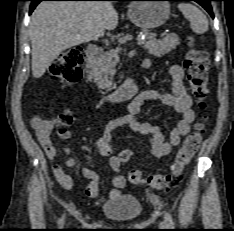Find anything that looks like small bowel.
Returning <instances> with one entry per match:
<instances>
[{"mask_svg": "<svg viewBox=\"0 0 234 231\" xmlns=\"http://www.w3.org/2000/svg\"><path fill=\"white\" fill-rule=\"evenodd\" d=\"M167 74L171 80V93H160L155 90L141 92L129 103L128 113L110 120L106 124L103 134L95 140V148L102 156L109 158L110 168L114 172L112 178L113 188L106 196L101 197L99 193L100 178L98 174L89 168H83L81 170L82 176L88 180L84 193L89 197L96 198L98 203L114 200L126 186L125 177L119 173L121 161L119 156L116 155V149L112 140L114 130L122 126H127L136 133L147 135L149 137L150 153L155 158H161L170 154L172 149L178 146L182 138L190 132L191 125L195 120V113L192 110V98L183 83L184 72L179 65L175 64L168 68ZM151 101H157L166 106L173 107L181 114V119L171 130L168 139L165 138L161 126L143 122L137 118L141 107L146 102ZM57 121V119L44 120L40 116H35L32 119V126L40 139L47 157L51 160L56 156V149L49 138V133ZM65 154L66 165L69 167L73 166L74 160L68 156L69 148H65ZM52 169L55 178L64 189L70 190L75 187L73 177L67 175L61 166L54 165Z\"/></svg>", "mask_w": 234, "mask_h": 231, "instance_id": "obj_1", "label": "small bowel"}]
</instances>
